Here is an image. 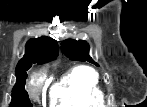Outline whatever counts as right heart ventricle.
<instances>
[{
    "mask_svg": "<svg viewBox=\"0 0 147 107\" xmlns=\"http://www.w3.org/2000/svg\"><path fill=\"white\" fill-rule=\"evenodd\" d=\"M56 107H100L102 88L98 72L89 66L72 68L52 88Z\"/></svg>",
    "mask_w": 147,
    "mask_h": 107,
    "instance_id": "right-heart-ventricle-1",
    "label": "right heart ventricle"
}]
</instances>
